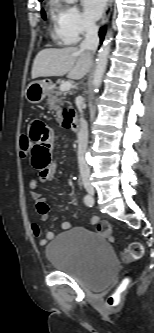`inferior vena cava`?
<instances>
[{"instance_id":"inferior-vena-cava-1","label":"inferior vena cava","mask_w":154,"mask_h":333,"mask_svg":"<svg viewBox=\"0 0 154 333\" xmlns=\"http://www.w3.org/2000/svg\"><path fill=\"white\" fill-rule=\"evenodd\" d=\"M86 35L85 39L80 44L81 50H89L93 53L96 51L99 43L98 27L95 23L87 22L84 25ZM77 107L81 113L80 129L78 132V164L81 174H89L90 168L86 162L85 155L88 144V124L82 115V106L80 102H77Z\"/></svg>"}]
</instances>
